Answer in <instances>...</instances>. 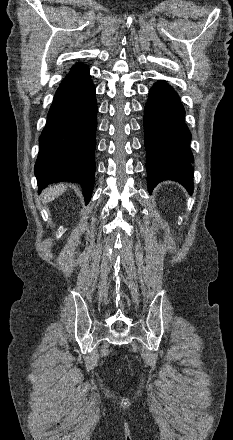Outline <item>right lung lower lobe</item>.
Segmentation results:
<instances>
[{"label":"right lung lower lobe","mask_w":233,"mask_h":440,"mask_svg":"<svg viewBox=\"0 0 233 440\" xmlns=\"http://www.w3.org/2000/svg\"><path fill=\"white\" fill-rule=\"evenodd\" d=\"M97 103L89 68L70 72L60 83L39 138L35 164L39 189L54 182H79L86 204L95 174Z\"/></svg>","instance_id":"obj_1"}]
</instances>
